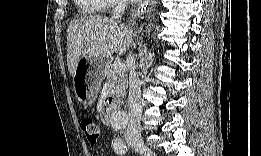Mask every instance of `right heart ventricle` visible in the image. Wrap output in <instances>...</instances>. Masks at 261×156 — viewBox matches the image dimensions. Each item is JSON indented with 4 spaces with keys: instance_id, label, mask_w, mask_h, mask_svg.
Here are the masks:
<instances>
[{
    "instance_id": "e07e8e85",
    "label": "right heart ventricle",
    "mask_w": 261,
    "mask_h": 156,
    "mask_svg": "<svg viewBox=\"0 0 261 156\" xmlns=\"http://www.w3.org/2000/svg\"><path fill=\"white\" fill-rule=\"evenodd\" d=\"M77 3L86 10H93V9H95L96 5L98 4V1L97 0H79Z\"/></svg>"
}]
</instances>
